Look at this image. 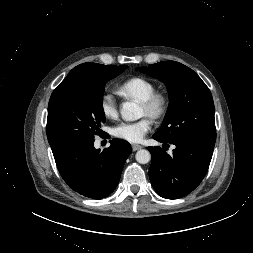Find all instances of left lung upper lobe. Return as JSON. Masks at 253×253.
<instances>
[{
	"mask_svg": "<svg viewBox=\"0 0 253 253\" xmlns=\"http://www.w3.org/2000/svg\"><path fill=\"white\" fill-rule=\"evenodd\" d=\"M136 69L161 80L169 92V109L155 136L167 142L196 139L215 145L213 98L192 69L176 61H162Z\"/></svg>",
	"mask_w": 253,
	"mask_h": 253,
	"instance_id": "left-lung-upper-lobe-1",
	"label": "left lung upper lobe"
}]
</instances>
